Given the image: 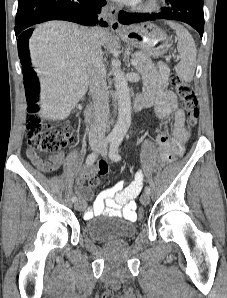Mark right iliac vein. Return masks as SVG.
<instances>
[{
    "instance_id": "1",
    "label": "right iliac vein",
    "mask_w": 227,
    "mask_h": 298,
    "mask_svg": "<svg viewBox=\"0 0 227 298\" xmlns=\"http://www.w3.org/2000/svg\"><path fill=\"white\" fill-rule=\"evenodd\" d=\"M91 147H92V149L95 150V149L98 148V144H97V143H93V144L91 145ZM84 207H85V205H84V203H83L81 200L76 201V202L74 203V208H75L77 211H81V210H83Z\"/></svg>"
}]
</instances>
